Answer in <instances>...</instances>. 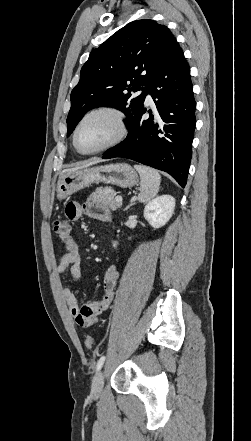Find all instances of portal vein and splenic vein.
I'll list each match as a JSON object with an SVG mask.
<instances>
[{
  "label": "portal vein and splenic vein",
  "instance_id": "1",
  "mask_svg": "<svg viewBox=\"0 0 251 441\" xmlns=\"http://www.w3.org/2000/svg\"><path fill=\"white\" fill-rule=\"evenodd\" d=\"M115 200H116L118 203L122 204V197H121V196H116V197H115Z\"/></svg>",
  "mask_w": 251,
  "mask_h": 441
}]
</instances>
